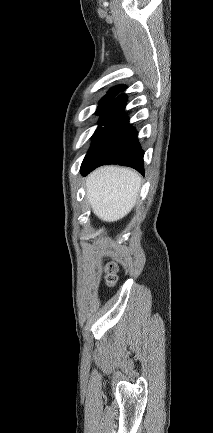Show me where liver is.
I'll list each match as a JSON object with an SVG mask.
<instances>
[{"label":"liver","mask_w":213,"mask_h":433,"mask_svg":"<svg viewBox=\"0 0 213 433\" xmlns=\"http://www.w3.org/2000/svg\"><path fill=\"white\" fill-rule=\"evenodd\" d=\"M141 181L138 172L126 167L94 170L86 180V198L93 213L106 222L122 219L135 206Z\"/></svg>","instance_id":"obj_1"}]
</instances>
